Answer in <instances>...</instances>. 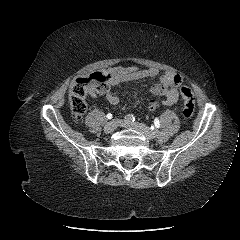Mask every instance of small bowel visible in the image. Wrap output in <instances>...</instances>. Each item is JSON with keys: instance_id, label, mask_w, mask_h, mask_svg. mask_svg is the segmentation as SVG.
<instances>
[{"instance_id": "small-bowel-1", "label": "small bowel", "mask_w": 240, "mask_h": 240, "mask_svg": "<svg viewBox=\"0 0 240 240\" xmlns=\"http://www.w3.org/2000/svg\"><path fill=\"white\" fill-rule=\"evenodd\" d=\"M107 73L110 78L105 90L107 101L112 104L119 103L117 92L112 90V87L119 83L137 80L141 78H154L160 74L159 69L155 67L141 68L137 66L129 67H113ZM182 83V77L173 72H165L159 78V83L153 85L150 92L154 96L161 97V100L151 99L149 101V110H155L159 106L173 105L178 101V92L176 88Z\"/></svg>"}]
</instances>
